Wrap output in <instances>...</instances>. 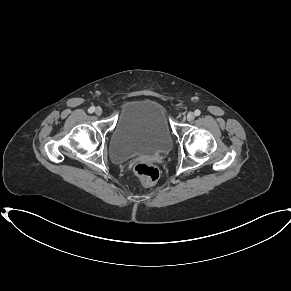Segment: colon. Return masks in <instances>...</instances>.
<instances>
[{
    "instance_id": "obj_1",
    "label": "colon",
    "mask_w": 291,
    "mask_h": 291,
    "mask_svg": "<svg viewBox=\"0 0 291 291\" xmlns=\"http://www.w3.org/2000/svg\"><path fill=\"white\" fill-rule=\"evenodd\" d=\"M134 172L146 185H153L160 176V172L155 166L141 162L135 164Z\"/></svg>"
}]
</instances>
